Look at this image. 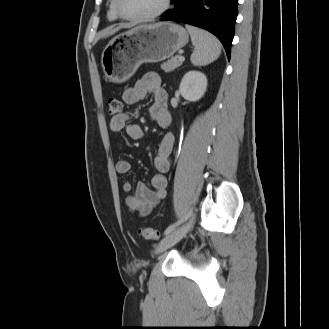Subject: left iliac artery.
I'll list each match as a JSON object with an SVG mask.
<instances>
[{"label": "left iliac artery", "instance_id": "44dca946", "mask_svg": "<svg viewBox=\"0 0 329 329\" xmlns=\"http://www.w3.org/2000/svg\"><path fill=\"white\" fill-rule=\"evenodd\" d=\"M192 211H190L185 217H183L181 220L177 221L176 223L168 226L166 230L164 231V235L169 234L171 231H173L178 225L186 221L191 216Z\"/></svg>", "mask_w": 329, "mask_h": 329}]
</instances>
